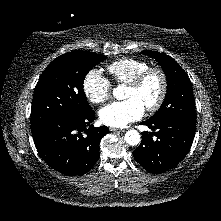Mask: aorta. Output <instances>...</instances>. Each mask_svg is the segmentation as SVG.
<instances>
[{
	"instance_id": "762f6f07",
	"label": "aorta",
	"mask_w": 221,
	"mask_h": 221,
	"mask_svg": "<svg viewBox=\"0 0 221 221\" xmlns=\"http://www.w3.org/2000/svg\"><path fill=\"white\" fill-rule=\"evenodd\" d=\"M113 96L118 100H122L124 98V86L119 85L118 87L114 88ZM125 141L131 146H136L140 143L141 136L138 131L129 130L125 133Z\"/></svg>"
}]
</instances>
